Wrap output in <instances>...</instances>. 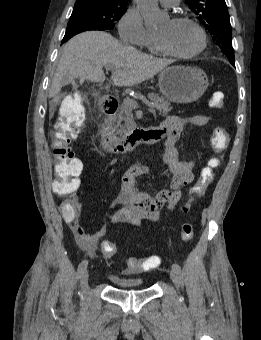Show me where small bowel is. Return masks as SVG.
Here are the masks:
<instances>
[{"label": "small bowel", "mask_w": 261, "mask_h": 340, "mask_svg": "<svg viewBox=\"0 0 261 340\" xmlns=\"http://www.w3.org/2000/svg\"><path fill=\"white\" fill-rule=\"evenodd\" d=\"M209 118L204 115L190 117H167L157 128L163 142V160L172 174L169 185L156 195L138 192L135 187L136 178L149 172L148 167L136 165L130 167L122 176L121 191L112 202L120 208L109 215L112 224H129L139 226L144 221L155 222L160 210L166 206L173 210L179 202L182 188L194 181V161L182 160L175 146L184 127L188 124L205 126ZM191 196L185 204H191ZM76 212L72 216L63 215L64 221L72 231L78 246L86 253L93 254L97 242L106 234L107 227L102 226L93 234H86L80 224L81 205L76 201Z\"/></svg>", "instance_id": "small-bowel-1"}]
</instances>
